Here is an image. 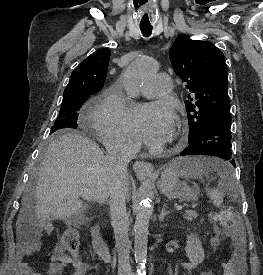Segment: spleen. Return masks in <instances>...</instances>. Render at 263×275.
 Here are the masks:
<instances>
[{
	"label": "spleen",
	"instance_id": "obj_1",
	"mask_svg": "<svg viewBox=\"0 0 263 275\" xmlns=\"http://www.w3.org/2000/svg\"><path fill=\"white\" fill-rule=\"evenodd\" d=\"M179 176L185 179H199L208 177L209 173L216 172L219 181L218 187L213 188L210 193V199L213 204L220 207L223 203L224 192L235 191L237 182L233 172V168L229 162L217 158H179L173 163Z\"/></svg>",
	"mask_w": 263,
	"mask_h": 275
}]
</instances>
